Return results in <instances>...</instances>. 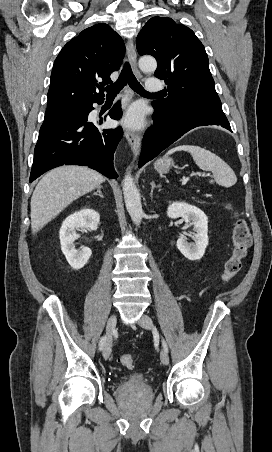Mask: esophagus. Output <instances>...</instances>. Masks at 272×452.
Here are the masks:
<instances>
[{"label": "esophagus", "instance_id": "obj_1", "mask_svg": "<svg viewBox=\"0 0 272 452\" xmlns=\"http://www.w3.org/2000/svg\"><path fill=\"white\" fill-rule=\"evenodd\" d=\"M126 49H127V56L128 59L136 73V75L138 77H141V73L137 68V54H136V49L135 46L133 44V42L131 40H129L127 42L126 45ZM125 138L128 141V143L131 146V149L133 151V154L135 156H137L139 154L140 151V145H141V136L138 133H134L131 131H125Z\"/></svg>", "mask_w": 272, "mask_h": 452}]
</instances>
